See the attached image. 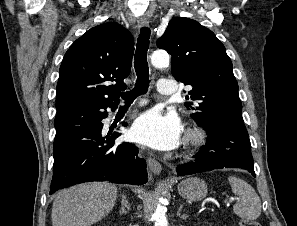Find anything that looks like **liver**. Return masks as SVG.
<instances>
[{"instance_id": "obj_1", "label": "liver", "mask_w": 297, "mask_h": 226, "mask_svg": "<svg viewBox=\"0 0 297 226\" xmlns=\"http://www.w3.org/2000/svg\"><path fill=\"white\" fill-rule=\"evenodd\" d=\"M117 188L110 183H85L70 187L55 198L52 226H91L115 205Z\"/></svg>"}]
</instances>
